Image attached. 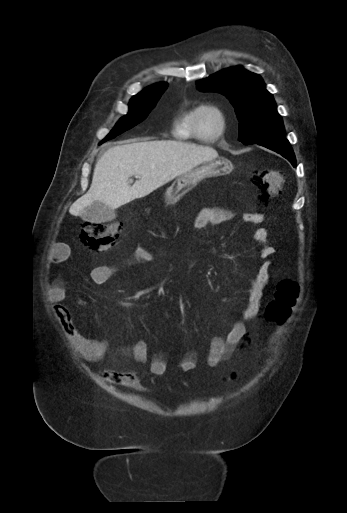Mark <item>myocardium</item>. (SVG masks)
Here are the masks:
<instances>
[{"label":"myocardium","mask_w":347,"mask_h":513,"mask_svg":"<svg viewBox=\"0 0 347 513\" xmlns=\"http://www.w3.org/2000/svg\"><path fill=\"white\" fill-rule=\"evenodd\" d=\"M204 112H212V113L216 114L219 119V122H220L219 130L212 136L206 137L208 142H214V141L218 140L219 138H221L224 135V133L226 132L227 124H228L227 114H226V111L219 105H216V104L200 105L196 110V114H195V118H194V122H193L194 132L196 134H198L199 136H202L200 126H199V119H200V116Z\"/></svg>","instance_id":"myocardium-1"}]
</instances>
